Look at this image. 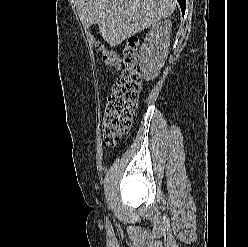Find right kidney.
Masks as SVG:
<instances>
[{"instance_id": "1", "label": "right kidney", "mask_w": 248, "mask_h": 247, "mask_svg": "<svg viewBox=\"0 0 248 247\" xmlns=\"http://www.w3.org/2000/svg\"><path fill=\"white\" fill-rule=\"evenodd\" d=\"M171 21L154 24L142 43L139 55L145 80H153L164 65L170 46Z\"/></svg>"}]
</instances>
